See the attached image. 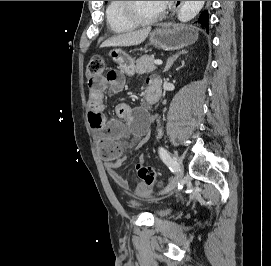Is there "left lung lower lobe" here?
I'll return each mask as SVG.
<instances>
[{"label": "left lung lower lobe", "instance_id": "left-lung-lower-lobe-1", "mask_svg": "<svg viewBox=\"0 0 271 266\" xmlns=\"http://www.w3.org/2000/svg\"><path fill=\"white\" fill-rule=\"evenodd\" d=\"M198 22L201 24V27H202L203 29L208 30L209 25H208V13H207V11H204V12L200 15V17H199V19H198Z\"/></svg>", "mask_w": 271, "mask_h": 266}]
</instances>
